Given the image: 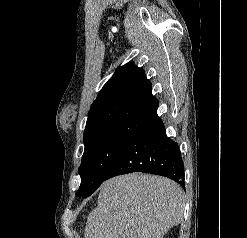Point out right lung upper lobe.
<instances>
[{"label": "right lung upper lobe", "instance_id": "cb5924a9", "mask_svg": "<svg viewBox=\"0 0 247 238\" xmlns=\"http://www.w3.org/2000/svg\"><path fill=\"white\" fill-rule=\"evenodd\" d=\"M158 100L143 69L129 62L118 67L91 105L84 136L122 119L149 120L157 115Z\"/></svg>", "mask_w": 247, "mask_h": 238}]
</instances>
